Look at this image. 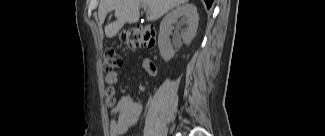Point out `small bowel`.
<instances>
[{
	"label": "small bowel",
	"mask_w": 325,
	"mask_h": 136,
	"mask_svg": "<svg viewBox=\"0 0 325 136\" xmlns=\"http://www.w3.org/2000/svg\"><path fill=\"white\" fill-rule=\"evenodd\" d=\"M144 71L151 77L158 75L157 65L150 59H141ZM121 76V70H116L105 75V83L112 87ZM106 105L111 109V120L109 123V135L121 136L126 134L129 129L138 122L143 105L135 100L131 95L124 94L116 100L115 92L109 88L106 92Z\"/></svg>",
	"instance_id": "1"
}]
</instances>
